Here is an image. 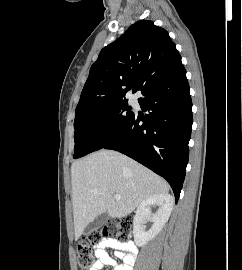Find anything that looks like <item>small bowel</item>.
<instances>
[{"label":"small bowel","mask_w":242,"mask_h":270,"mask_svg":"<svg viewBox=\"0 0 242 270\" xmlns=\"http://www.w3.org/2000/svg\"><path fill=\"white\" fill-rule=\"evenodd\" d=\"M108 248L115 251L116 258L122 260V263H118L108 254L106 250ZM136 251L137 248L132 241L122 242L115 239H105L97 244L96 261L92 270H101L107 265L113 266L114 270H133Z\"/></svg>","instance_id":"c3829d8e"}]
</instances>
